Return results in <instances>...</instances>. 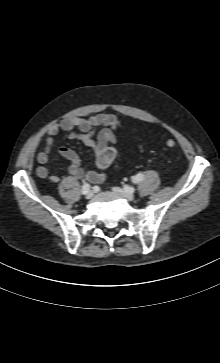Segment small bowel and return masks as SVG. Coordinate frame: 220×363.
<instances>
[{"instance_id":"obj_1","label":"small bowel","mask_w":220,"mask_h":363,"mask_svg":"<svg viewBox=\"0 0 220 363\" xmlns=\"http://www.w3.org/2000/svg\"><path fill=\"white\" fill-rule=\"evenodd\" d=\"M101 130L96 134V129ZM121 127V121L113 114L101 113L87 118L72 117L62 120L52 125L44 135V146L37 152V160L40 164L47 163L49 155L54 147V140L60 131L70 133V137L78 139L83 144L91 147L96 155V166L99 171H86L81 165L78 154L68 148L59 147L58 153L68 161L70 166L68 173L76 179L85 178L91 183H101L105 180L106 175L103 170L108 166L104 164V154L109 145L115 144L116 132ZM36 174L41 178H46L52 183H58L60 178L52 173L47 167L39 166Z\"/></svg>"}]
</instances>
